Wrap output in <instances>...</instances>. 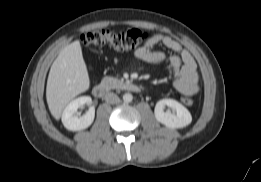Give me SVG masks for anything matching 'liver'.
<instances>
[{"label": "liver", "mask_w": 261, "mask_h": 182, "mask_svg": "<svg viewBox=\"0 0 261 182\" xmlns=\"http://www.w3.org/2000/svg\"><path fill=\"white\" fill-rule=\"evenodd\" d=\"M90 86L79 40L62 49L47 80L46 99L52 116L59 120L66 105Z\"/></svg>", "instance_id": "liver-1"}]
</instances>
